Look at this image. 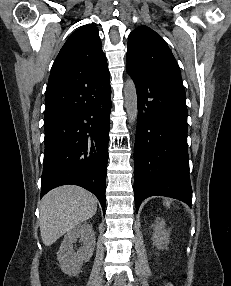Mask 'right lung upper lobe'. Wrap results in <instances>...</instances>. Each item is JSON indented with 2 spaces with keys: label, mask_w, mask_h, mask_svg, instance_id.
<instances>
[{
  "label": "right lung upper lobe",
  "mask_w": 231,
  "mask_h": 286,
  "mask_svg": "<svg viewBox=\"0 0 231 286\" xmlns=\"http://www.w3.org/2000/svg\"><path fill=\"white\" fill-rule=\"evenodd\" d=\"M97 27L86 25L71 34L51 69L46 106L69 96L78 84L108 74Z\"/></svg>",
  "instance_id": "obj_1"
}]
</instances>
